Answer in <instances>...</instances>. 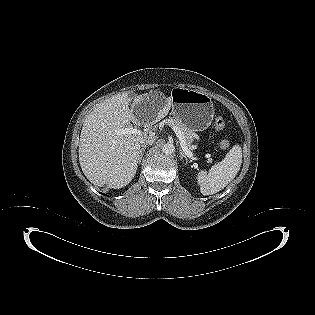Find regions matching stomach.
<instances>
[{
  "label": "stomach",
  "instance_id": "1",
  "mask_svg": "<svg viewBox=\"0 0 315 315\" xmlns=\"http://www.w3.org/2000/svg\"><path fill=\"white\" fill-rule=\"evenodd\" d=\"M170 99L174 118L180 119L188 128L203 131L210 126L214 108L208 94L195 89L175 87L171 91Z\"/></svg>",
  "mask_w": 315,
  "mask_h": 315
}]
</instances>
